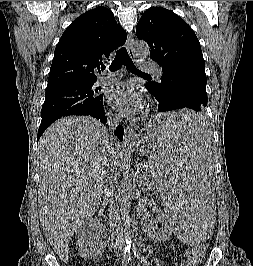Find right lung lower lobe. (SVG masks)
Instances as JSON below:
<instances>
[{
  "instance_id": "98d812e1",
  "label": "right lung lower lobe",
  "mask_w": 253,
  "mask_h": 266,
  "mask_svg": "<svg viewBox=\"0 0 253 266\" xmlns=\"http://www.w3.org/2000/svg\"><path fill=\"white\" fill-rule=\"evenodd\" d=\"M81 115H90L92 117H95L97 119H99L102 123H106L107 122V118L105 116V112H104V109H103V103L102 105H100L99 107H97L95 110H92V111H88L86 113H83ZM49 125H42L39 127V130H38V135H37V140L40 139L41 135L43 134V132L45 131V129L48 127ZM115 135L118 137V139L120 141L123 140V134H124V128L119 125L116 130H115Z\"/></svg>"
}]
</instances>
